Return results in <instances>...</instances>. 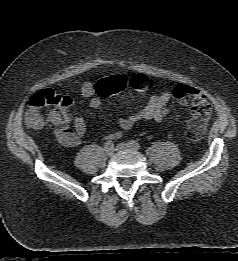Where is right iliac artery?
<instances>
[{
	"instance_id": "right-iliac-artery-1",
	"label": "right iliac artery",
	"mask_w": 238,
	"mask_h": 261,
	"mask_svg": "<svg viewBox=\"0 0 238 261\" xmlns=\"http://www.w3.org/2000/svg\"><path fill=\"white\" fill-rule=\"evenodd\" d=\"M113 145H114V144H113V142H112V141H110V140H109V141H107V142L104 144V146H105V149H106V148L113 147Z\"/></svg>"
}]
</instances>
